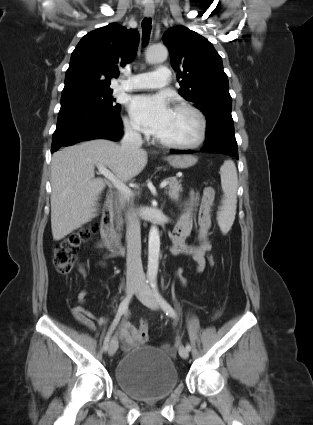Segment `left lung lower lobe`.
Segmentation results:
<instances>
[{"label": "left lung lower lobe", "mask_w": 313, "mask_h": 425, "mask_svg": "<svg viewBox=\"0 0 313 425\" xmlns=\"http://www.w3.org/2000/svg\"><path fill=\"white\" fill-rule=\"evenodd\" d=\"M201 151H212L232 155L238 159V147L234 134L233 120L208 121L206 141ZM174 153H194L193 150H171Z\"/></svg>", "instance_id": "0a47b994"}]
</instances>
